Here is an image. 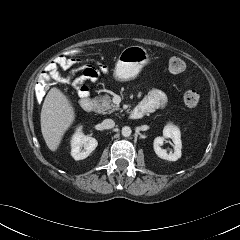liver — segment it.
I'll list each match as a JSON object with an SVG mask.
<instances>
[{
  "label": "liver",
  "mask_w": 240,
  "mask_h": 240,
  "mask_svg": "<svg viewBox=\"0 0 240 240\" xmlns=\"http://www.w3.org/2000/svg\"><path fill=\"white\" fill-rule=\"evenodd\" d=\"M41 132L47 147L55 152L64 133L75 120L74 108L68 97L53 87L47 93L41 110Z\"/></svg>",
  "instance_id": "1"
}]
</instances>
